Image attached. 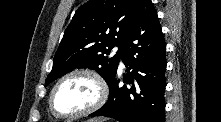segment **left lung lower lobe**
<instances>
[{
    "label": "left lung lower lobe",
    "mask_w": 221,
    "mask_h": 122,
    "mask_svg": "<svg viewBox=\"0 0 221 122\" xmlns=\"http://www.w3.org/2000/svg\"><path fill=\"white\" fill-rule=\"evenodd\" d=\"M165 52L157 12L151 0H140L121 54L127 67L123 81L129 86L120 87L115 74L108 101L90 116L119 122H165Z\"/></svg>",
    "instance_id": "left-lung-lower-lobe-1"
}]
</instances>
